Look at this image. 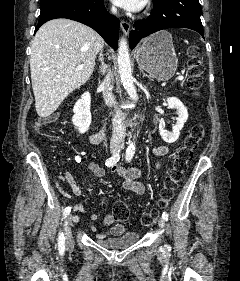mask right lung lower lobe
I'll use <instances>...</instances> for the list:
<instances>
[{
    "instance_id": "right-lung-lower-lobe-1",
    "label": "right lung lower lobe",
    "mask_w": 240,
    "mask_h": 281,
    "mask_svg": "<svg viewBox=\"0 0 240 281\" xmlns=\"http://www.w3.org/2000/svg\"><path fill=\"white\" fill-rule=\"evenodd\" d=\"M40 10L35 32L51 19L68 18L90 26L114 50L118 48L119 20L106 11L103 0H51L41 4Z\"/></svg>"
}]
</instances>
